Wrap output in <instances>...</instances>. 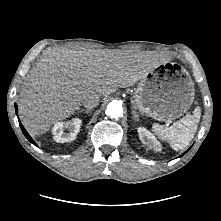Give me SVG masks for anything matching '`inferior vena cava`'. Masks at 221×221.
<instances>
[{
  "instance_id": "inferior-vena-cava-1",
  "label": "inferior vena cava",
  "mask_w": 221,
  "mask_h": 221,
  "mask_svg": "<svg viewBox=\"0 0 221 221\" xmlns=\"http://www.w3.org/2000/svg\"><path fill=\"white\" fill-rule=\"evenodd\" d=\"M82 104L87 109H93L99 104V97L97 95H87L83 100Z\"/></svg>"
}]
</instances>
